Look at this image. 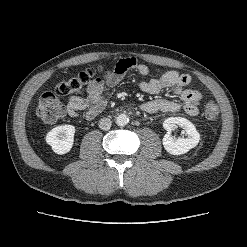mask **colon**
<instances>
[{"mask_svg": "<svg viewBox=\"0 0 247 247\" xmlns=\"http://www.w3.org/2000/svg\"><path fill=\"white\" fill-rule=\"evenodd\" d=\"M127 64L118 65L119 70H125ZM103 67L89 68L79 74L60 82L55 92H46L41 95L37 115L46 123H54L65 113L64 106L59 99L62 95L81 94L99 73H104ZM204 116L209 121H214L219 117V108L214 102H207L204 107Z\"/></svg>", "mask_w": 247, "mask_h": 247, "instance_id": "5ec220e1", "label": "colon"}]
</instances>
